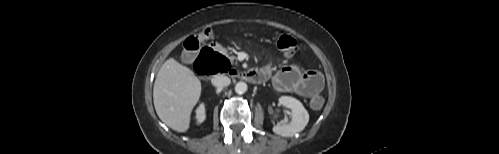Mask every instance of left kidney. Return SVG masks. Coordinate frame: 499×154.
Instances as JSON below:
<instances>
[{"mask_svg":"<svg viewBox=\"0 0 499 154\" xmlns=\"http://www.w3.org/2000/svg\"><path fill=\"white\" fill-rule=\"evenodd\" d=\"M279 104L291 110V121L275 125L273 132L283 137H291L301 132L309 122V114L303 104L290 96H281Z\"/></svg>","mask_w":499,"mask_h":154,"instance_id":"1","label":"left kidney"}]
</instances>
